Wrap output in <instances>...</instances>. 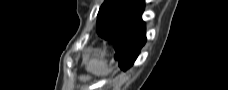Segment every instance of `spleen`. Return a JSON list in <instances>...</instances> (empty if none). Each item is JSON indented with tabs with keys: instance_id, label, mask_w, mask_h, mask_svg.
Wrapping results in <instances>:
<instances>
[{
	"instance_id": "3e777b00",
	"label": "spleen",
	"mask_w": 228,
	"mask_h": 90,
	"mask_svg": "<svg viewBox=\"0 0 228 90\" xmlns=\"http://www.w3.org/2000/svg\"><path fill=\"white\" fill-rule=\"evenodd\" d=\"M86 70L96 76H105L112 71L107 61L100 58V51H96L94 56L87 62Z\"/></svg>"
}]
</instances>
